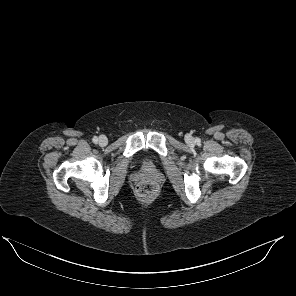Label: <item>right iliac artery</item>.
Listing matches in <instances>:
<instances>
[{"label":"right iliac artery","instance_id":"82829eb1","mask_svg":"<svg viewBox=\"0 0 296 296\" xmlns=\"http://www.w3.org/2000/svg\"><path fill=\"white\" fill-rule=\"evenodd\" d=\"M92 141H93L94 143H97V142H98V138H97L96 136H94L93 139H92Z\"/></svg>","mask_w":296,"mask_h":296}]
</instances>
